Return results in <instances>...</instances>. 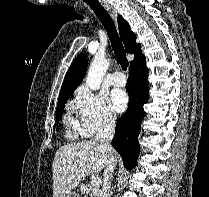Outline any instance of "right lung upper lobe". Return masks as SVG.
Here are the masks:
<instances>
[{"label": "right lung upper lobe", "mask_w": 209, "mask_h": 197, "mask_svg": "<svg viewBox=\"0 0 209 197\" xmlns=\"http://www.w3.org/2000/svg\"><path fill=\"white\" fill-rule=\"evenodd\" d=\"M117 20L119 34L124 43L126 51L135 54V59L131 61L132 65L145 56L141 52V45L136 43V35L131 31L127 21H125L122 16H118ZM87 65L88 61L84 54H80L74 59L64 78L58 100L66 97L69 93L73 92L77 88L85 76Z\"/></svg>", "instance_id": "obj_1"}]
</instances>
